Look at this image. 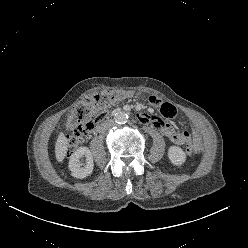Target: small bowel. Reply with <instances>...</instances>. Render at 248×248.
<instances>
[{
  "instance_id": "obj_1",
  "label": "small bowel",
  "mask_w": 248,
  "mask_h": 248,
  "mask_svg": "<svg viewBox=\"0 0 248 248\" xmlns=\"http://www.w3.org/2000/svg\"><path fill=\"white\" fill-rule=\"evenodd\" d=\"M148 105L156 110L159 115L157 117L150 116L147 113H141L139 118L143 123L151 122V125L161 131L163 135L168 137L171 142L176 145H183L189 142H199V132L195 125L192 124L191 132L188 131H176L173 126L167 123L168 120H172L178 117L179 110L177 106L160 100L158 97L153 96L148 100ZM110 115L109 111L103 112L102 115H98L96 119L93 120L94 124L104 121Z\"/></svg>"
}]
</instances>
